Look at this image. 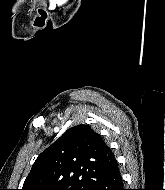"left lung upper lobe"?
I'll use <instances>...</instances> for the list:
<instances>
[{
  "label": "left lung upper lobe",
  "mask_w": 165,
  "mask_h": 190,
  "mask_svg": "<svg viewBox=\"0 0 165 190\" xmlns=\"http://www.w3.org/2000/svg\"><path fill=\"white\" fill-rule=\"evenodd\" d=\"M115 161L98 133L74 126L37 157L21 190H92Z\"/></svg>",
  "instance_id": "5c2ea615"
}]
</instances>
